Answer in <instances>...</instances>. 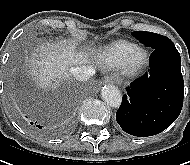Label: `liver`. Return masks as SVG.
I'll return each instance as SVG.
<instances>
[{
    "label": "liver",
    "mask_w": 190,
    "mask_h": 165,
    "mask_svg": "<svg viewBox=\"0 0 190 165\" xmlns=\"http://www.w3.org/2000/svg\"><path fill=\"white\" fill-rule=\"evenodd\" d=\"M88 55L69 43H42L33 50L26 71L40 89L47 90L67 80L73 66L86 64Z\"/></svg>",
    "instance_id": "obj_1"
}]
</instances>
